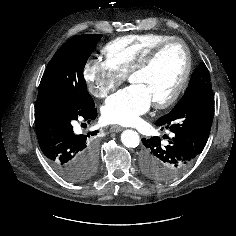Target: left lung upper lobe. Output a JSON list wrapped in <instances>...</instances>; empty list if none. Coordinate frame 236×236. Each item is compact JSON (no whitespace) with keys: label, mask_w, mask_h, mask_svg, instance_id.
Wrapping results in <instances>:
<instances>
[{"label":"left lung upper lobe","mask_w":236,"mask_h":236,"mask_svg":"<svg viewBox=\"0 0 236 236\" xmlns=\"http://www.w3.org/2000/svg\"><path fill=\"white\" fill-rule=\"evenodd\" d=\"M206 89H211L210 76L206 65L204 63H201L192 74L191 80L189 82L188 88L184 96L172 109V111L167 115L178 111L192 98H194L196 95H198L199 93H201Z\"/></svg>","instance_id":"left-lung-upper-lobe-1"}]
</instances>
